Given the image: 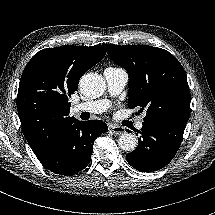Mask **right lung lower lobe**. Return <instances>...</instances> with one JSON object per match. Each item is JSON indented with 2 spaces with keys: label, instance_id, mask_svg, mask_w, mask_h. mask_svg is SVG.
I'll use <instances>...</instances> for the list:
<instances>
[{
  "label": "right lung lower lobe",
  "instance_id": "right-lung-lower-lobe-1",
  "mask_svg": "<svg viewBox=\"0 0 215 215\" xmlns=\"http://www.w3.org/2000/svg\"><path fill=\"white\" fill-rule=\"evenodd\" d=\"M107 129L101 120L83 122L75 119L37 158L51 172L64 176L77 174L89 164L94 140Z\"/></svg>",
  "mask_w": 215,
  "mask_h": 215
}]
</instances>
